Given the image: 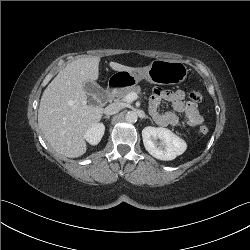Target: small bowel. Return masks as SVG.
Segmentation results:
<instances>
[{"mask_svg":"<svg viewBox=\"0 0 250 250\" xmlns=\"http://www.w3.org/2000/svg\"><path fill=\"white\" fill-rule=\"evenodd\" d=\"M186 94L182 90L155 89L150 99V113L156 123L162 126H175L181 128H195L203 122L197 105L185 99ZM163 101L170 103L174 111H160ZM177 113L183 115L180 119Z\"/></svg>","mask_w":250,"mask_h":250,"instance_id":"obj_1","label":"small bowel"}]
</instances>
